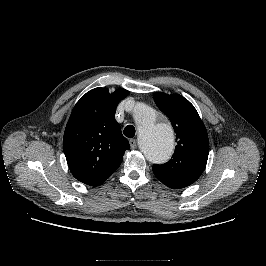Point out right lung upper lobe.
Returning a JSON list of instances; mask_svg holds the SVG:
<instances>
[{
	"mask_svg": "<svg viewBox=\"0 0 266 266\" xmlns=\"http://www.w3.org/2000/svg\"><path fill=\"white\" fill-rule=\"evenodd\" d=\"M128 93L119 88L110 94L99 87L87 92L76 103L65 129L63 150L77 180L98 186L122 163L130 145L114 116L118 103Z\"/></svg>",
	"mask_w": 266,
	"mask_h": 266,
	"instance_id": "1",
	"label": "right lung upper lobe"
}]
</instances>
